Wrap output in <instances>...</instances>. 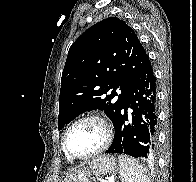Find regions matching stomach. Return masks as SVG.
Segmentation results:
<instances>
[{
    "label": "stomach",
    "mask_w": 196,
    "mask_h": 182,
    "mask_svg": "<svg viewBox=\"0 0 196 182\" xmlns=\"http://www.w3.org/2000/svg\"><path fill=\"white\" fill-rule=\"evenodd\" d=\"M118 171L117 161L112 156H99L76 171L66 175L60 182H92L96 177L111 175Z\"/></svg>",
    "instance_id": "obj_1"
}]
</instances>
